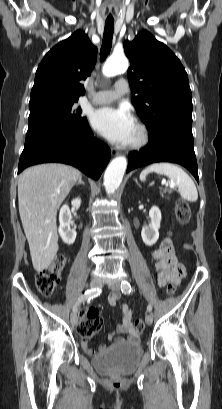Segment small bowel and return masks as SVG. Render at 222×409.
Returning <instances> with one entry per match:
<instances>
[{
  "label": "small bowel",
  "mask_w": 222,
  "mask_h": 409,
  "mask_svg": "<svg viewBox=\"0 0 222 409\" xmlns=\"http://www.w3.org/2000/svg\"><path fill=\"white\" fill-rule=\"evenodd\" d=\"M152 259L155 261V268L157 272L158 286L163 288L168 283H173L176 286L180 285L184 276V260H177L175 248L173 243L164 238L160 246L151 251ZM121 298L119 292L110 293L108 296V303L112 307H117ZM121 324H119L114 331L108 334L109 341L114 344H124L127 342L138 343L139 336L135 330L132 322V310L127 304H122L120 307ZM117 334L123 336L117 337ZM82 347L87 355L93 356L96 351L88 345L86 339L82 340ZM108 349L107 345H100L99 351L104 352Z\"/></svg>",
  "instance_id": "obj_1"
}]
</instances>
